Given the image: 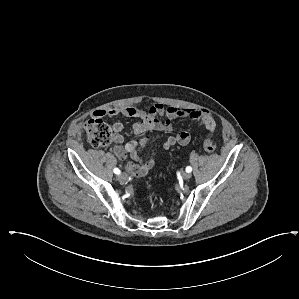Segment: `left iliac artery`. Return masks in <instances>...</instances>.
Wrapping results in <instances>:
<instances>
[{"label":"left iliac artery","instance_id":"1","mask_svg":"<svg viewBox=\"0 0 299 299\" xmlns=\"http://www.w3.org/2000/svg\"><path fill=\"white\" fill-rule=\"evenodd\" d=\"M192 171V167H190V166H188L187 168H186V172H191Z\"/></svg>","mask_w":299,"mask_h":299}]
</instances>
